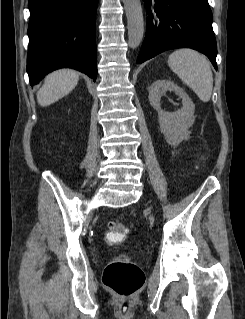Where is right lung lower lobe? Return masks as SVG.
<instances>
[{
	"mask_svg": "<svg viewBox=\"0 0 245 319\" xmlns=\"http://www.w3.org/2000/svg\"><path fill=\"white\" fill-rule=\"evenodd\" d=\"M97 5L98 0H29L27 73L32 86L63 67L96 80Z\"/></svg>",
	"mask_w": 245,
	"mask_h": 319,
	"instance_id": "1",
	"label": "right lung lower lobe"
}]
</instances>
